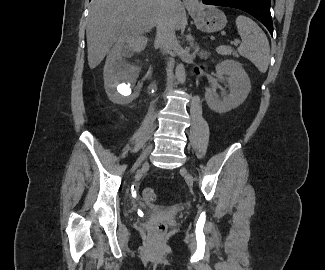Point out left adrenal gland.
<instances>
[{"instance_id": "obj_1", "label": "left adrenal gland", "mask_w": 325, "mask_h": 270, "mask_svg": "<svg viewBox=\"0 0 325 270\" xmlns=\"http://www.w3.org/2000/svg\"><path fill=\"white\" fill-rule=\"evenodd\" d=\"M196 53L198 54V56L200 58H207L209 56V53L204 51V50H201L200 51V48H199V45L196 46Z\"/></svg>"}]
</instances>
